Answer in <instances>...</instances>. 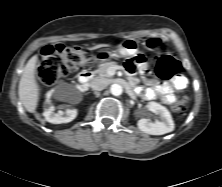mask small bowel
<instances>
[{"label": "small bowel", "mask_w": 222, "mask_h": 187, "mask_svg": "<svg viewBox=\"0 0 222 187\" xmlns=\"http://www.w3.org/2000/svg\"><path fill=\"white\" fill-rule=\"evenodd\" d=\"M127 67L130 71L133 70L134 65L132 62H128ZM188 81L186 77L177 75L172 80V83H159L154 88H148L143 92V97L146 100L159 99L166 105H172L176 102L175 90L181 91L187 87Z\"/></svg>", "instance_id": "c3829d8e"}]
</instances>
